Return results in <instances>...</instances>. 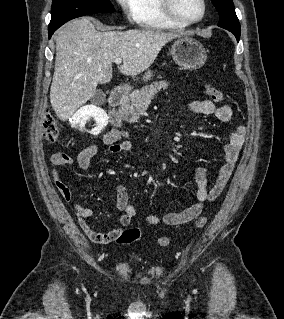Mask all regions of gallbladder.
I'll list each match as a JSON object with an SVG mask.
<instances>
[{
  "instance_id": "gallbladder-1",
  "label": "gallbladder",
  "mask_w": 284,
  "mask_h": 319,
  "mask_svg": "<svg viewBox=\"0 0 284 319\" xmlns=\"http://www.w3.org/2000/svg\"><path fill=\"white\" fill-rule=\"evenodd\" d=\"M106 101V93L101 89L96 90L93 96L90 98V102L94 105H102Z\"/></svg>"
}]
</instances>
